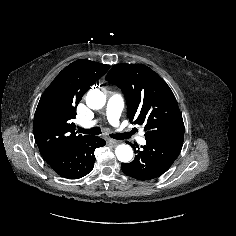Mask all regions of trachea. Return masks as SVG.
<instances>
[{
    "instance_id": "3493384b",
    "label": "trachea",
    "mask_w": 236,
    "mask_h": 236,
    "mask_svg": "<svg viewBox=\"0 0 236 236\" xmlns=\"http://www.w3.org/2000/svg\"><path fill=\"white\" fill-rule=\"evenodd\" d=\"M78 131L80 133L88 134V135H99L101 134V128L100 127H94L91 129H83L81 127L78 128ZM135 131L129 132V133H116V134H111L110 136L112 138L118 139V140H123V139H128L130 136L134 133Z\"/></svg>"
}]
</instances>
